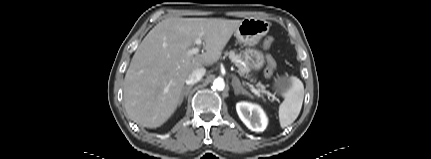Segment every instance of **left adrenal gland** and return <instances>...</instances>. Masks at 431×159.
<instances>
[{
  "mask_svg": "<svg viewBox=\"0 0 431 159\" xmlns=\"http://www.w3.org/2000/svg\"><path fill=\"white\" fill-rule=\"evenodd\" d=\"M232 86H233L235 95L244 94L251 97V94L241 86L239 79L235 76L233 77V80H232Z\"/></svg>",
  "mask_w": 431,
  "mask_h": 159,
  "instance_id": "a2214340",
  "label": "left adrenal gland"
}]
</instances>
